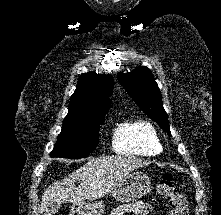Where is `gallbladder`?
I'll list each match as a JSON object with an SVG mask.
<instances>
[{
	"instance_id": "gallbladder-1",
	"label": "gallbladder",
	"mask_w": 221,
	"mask_h": 215,
	"mask_svg": "<svg viewBox=\"0 0 221 215\" xmlns=\"http://www.w3.org/2000/svg\"><path fill=\"white\" fill-rule=\"evenodd\" d=\"M61 208L60 203H50L46 208V215H54Z\"/></svg>"
}]
</instances>
